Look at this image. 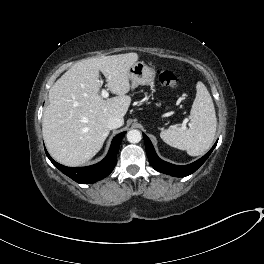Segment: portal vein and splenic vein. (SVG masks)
Here are the masks:
<instances>
[{
  "label": "portal vein and splenic vein",
  "instance_id": "18ae733b",
  "mask_svg": "<svg viewBox=\"0 0 264 264\" xmlns=\"http://www.w3.org/2000/svg\"><path fill=\"white\" fill-rule=\"evenodd\" d=\"M101 96H102L103 98H107V97L109 96L108 91H107L106 89H103L102 92H101Z\"/></svg>",
  "mask_w": 264,
  "mask_h": 264
}]
</instances>
